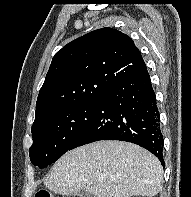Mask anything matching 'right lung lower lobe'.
I'll return each instance as SVG.
<instances>
[{"mask_svg": "<svg viewBox=\"0 0 191 197\" xmlns=\"http://www.w3.org/2000/svg\"><path fill=\"white\" fill-rule=\"evenodd\" d=\"M69 150L99 140L135 143L164 166L163 135L156 96L147 69L108 87Z\"/></svg>", "mask_w": 191, "mask_h": 197, "instance_id": "obj_1", "label": "right lung lower lobe"}]
</instances>
